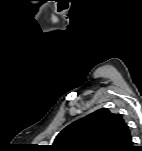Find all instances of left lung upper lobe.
Wrapping results in <instances>:
<instances>
[{
  "instance_id": "left-lung-upper-lobe-1",
  "label": "left lung upper lobe",
  "mask_w": 142,
  "mask_h": 151,
  "mask_svg": "<svg viewBox=\"0 0 142 151\" xmlns=\"http://www.w3.org/2000/svg\"><path fill=\"white\" fill-rule=\"evenodd\" d=\"M129 127L121 114L101 108L64 128L53 147L59 151H128Z\"/></svg>"
}]
</instances>
